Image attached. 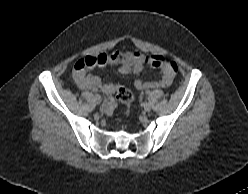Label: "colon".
Masks as SVG:
<instances>
[{
    "label": "colon",
    "instance_id": "5ec220e1",
    "mask_svg": "<svg viewBox=\"0 0 248 194\" xmlns=\"http://www.w3.org/2000/svg\"><path fill=\"white\" fill-rule=\"evenodd\" d=\"M148 62L156 67H167L173 74L178 71V65L175 61L167 60L162 56H149ZM77 68L83 70L86 68L93 67L95 65L93 60L81 59L77 63ZM116 98L125 105V114L128 116L131 113V103L133 101L132 92L124 86L117 84L115 85ZM111 110V109H110Z\"/></svg>",
    "mask_w": 248,
    "mask_h": 194
}]
</instances>
